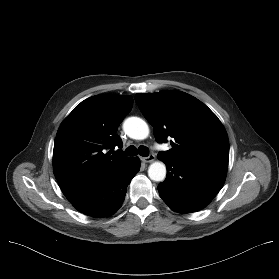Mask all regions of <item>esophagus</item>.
Here are the masks:
<instances>
[{"instance_id":"esophagus-1","label":"esophagus","mask_w":279,"mask_h":279,"mask_svg":"<svg viewBox=\"0 0 279 279\" xmlns=\"http://www.w3.org/2000/svg\"><path fill=\"white\" fill-rule=\"evenodd\" d=\"M155 160V155L151 154L148 157L142 158V161L145 163H151Z\"/></svg>"}]
</instances>
